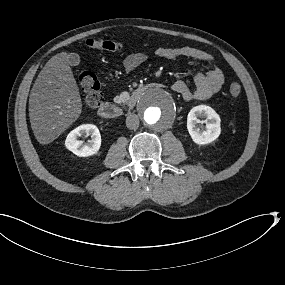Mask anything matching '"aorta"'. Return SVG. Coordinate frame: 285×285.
I'll return each mask as SVG.
<instances>
[{"instance_id":"aorta-1","label":"aorta","mask_w":285,"mask_h":285,"mask_svg":"<svg viewBox=\"0 0 285 285\" xmlns=\"http://www.w3.org/2000/svg\"><path fill=\"white\" fill-rule=\"evenodd\" d=\"M136 112L139 121L146 128L160 131L169 128L176 121L179 107L176 98L169 91L155 88L146 91L139 98Z\"/></svg>"}]
</instances>
